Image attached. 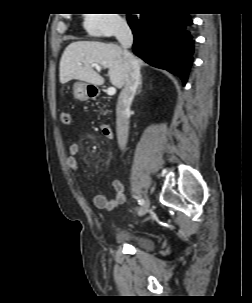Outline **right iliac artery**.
I'll use <instances>...</instances> for the list:
<instances>
[{"mask_svg": "<svg viewBox=\"0 0 252 303\" xmlns=\"http://www.w3.org/2000/svg\"><path fill=\"white\" fill-rule=\"evenodd\" d=\"M136 199L138 200L139 204H143L144 200L141 197H136Z\"/></svg>", "mask_w": 252, "mask_h": 303, "instance_id": "1", "label": "right iliac artery"}]
</instances>
